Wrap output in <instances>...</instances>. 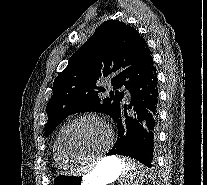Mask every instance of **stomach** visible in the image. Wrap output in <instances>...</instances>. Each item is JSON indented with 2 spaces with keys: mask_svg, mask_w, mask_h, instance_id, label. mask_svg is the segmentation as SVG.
Listing matches in <instances>:
<instances>
[{
  "mask_svg": "<svg viewBox=\"0 0 207 185\" xmlns=\"http://www.w3.org/2000/svg\"><path fill=\"white\" fill-rule=\"evenodd\" d=\"M125 171V164L118 157H105L95 168L82 176L58 175L52 185H107L121 177Z\"/></svg>",
  "mask_w": 207,
  "mask_h": 185,
  "instance_id": "stomach-1",
  "label": "stomach"
}]
</instances>
